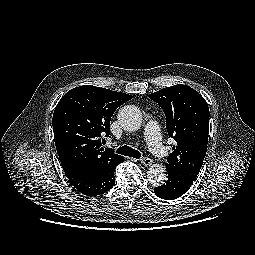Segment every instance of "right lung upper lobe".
<instances>
[{
  "mask_svg": "<svg viewBox=\"0 0 255 255\" xmlns=\"http://www.w3.org/2000/svg\"><path fill=\"white\" fill-rule=\"evenodd\" d=\"M132 98L129 94L85 85L71 89L60 99L52 124L65 173L103 172L124 160L111 149L104 151L101 137H109L113 113Z\"/></svg>",
  "mask_w": 255,
  "mask_h": 255,
  "instance_id": "cb5924a9",
  "label": "right lung upper lobe"
}]
</instances>
